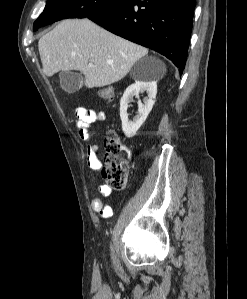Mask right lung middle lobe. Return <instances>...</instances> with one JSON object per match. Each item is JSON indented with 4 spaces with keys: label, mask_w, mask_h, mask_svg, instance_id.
Here are the masks:
<instances>
[{
    "label": "right lung middle lobe",
    "mask_w": 247,
    "mask_h": 299,
    "mask_svg": "<svg viewBox=\"0 0 247 299\" xmlns=\"http://www.w3.org/2000/svg\"><path fill=\"white\" fill-rule=\"evenodd\" d=\"M126 0H47L33 30L65 18H85L109 11Z\"/></svg>",
    "instance_id": "right-lung-middle-lobe-1"
}]
</instances>
